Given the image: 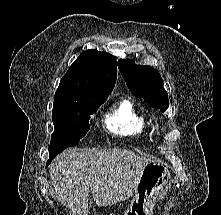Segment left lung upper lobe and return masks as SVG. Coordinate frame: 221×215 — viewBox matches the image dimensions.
Returning a JSON list of instances; mask_svg holds the SVG:
<instances>
[{"label":"left lung upper lobe","mask_w":221,"mask_h":215,"mask_svg":"<svg viewBox=\"0 0 221 215\" xmlns=\"http://www.w3.org/2000/svg\"><path fill=\"white\" fill-rule=\"evenodd\" d=\"M118 67L133 95L143 98L152 107L166 111L169 106L168 94L157 70L122 59L118 61Z\"/></svg>","instance_id":"1"}]
</instances>
